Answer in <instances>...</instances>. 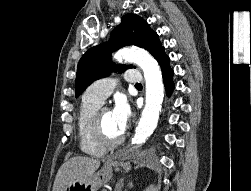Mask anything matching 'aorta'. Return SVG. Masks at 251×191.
I'll list each match as a JSON object with an SVG mask.
<instances>
[{
    "label": "aorta",
    "instance_id": "762f6f07",
    "mask_svg": "<svg viewBox=\"0 0 251 191\" xmlns=\"http://www.w3.org/2000/svg\"><path fill=\"white\" fill-rule=\"evenodd\" d=\"M114 58L120 62H132L140 66L144 72L146 82V103L135 129L132 143H145L149 135L157 127L162 99L164 97V86L160 68L146 50L141 48H122L116 52Z\"/></svg>",
    "mask_w": 251,
    "mask_h": 191
}]
</instances>
